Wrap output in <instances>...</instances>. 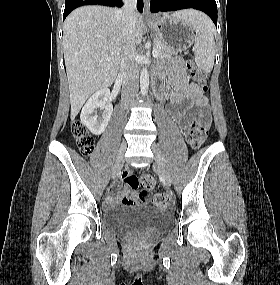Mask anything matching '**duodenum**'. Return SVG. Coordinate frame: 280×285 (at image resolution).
Masks as SVG:
<instances>
[{
	"label": "duodenum",
	"instance_id": "duodenum-1",
	"mask_svg": "<svg viewBox=\"0 0 280 285\" xmlns=\"http://www.w3.org/2000/svg\"><path fill=\"white\" fill-rule=\"evenodd\" d=\"M161 94H162V88L158 84L155 85V87H154V95H155V97L160 98Z\"/></svg>",
	"mask_w": 280,
	"mask_h": 285
}]
</instances>
